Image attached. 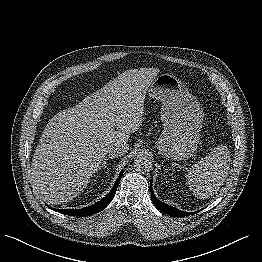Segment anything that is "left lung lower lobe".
<instances>
[{
    "label": "left lung lower lobe",
    "instance_id": "1",
    "mask_svg": "<svg viewBox=\"0 0 262 262\" xmlns=\"http://www.w3.org/2000/svg\"><path fill=\"white\" fill-rule=\"evenodd\" d=\"M150 188H151V197H152V201L154 203V206L161 210L164 213H167L168 215L172 216V217H185V216H189V215H193L196 212H184L181 211L173 206L167 205L165 203H163L162 201L158 200L155 195L154 192L152 190V180H151V184H150ZM198 212V211H197Z\"/></svg>",
    "mask_w": 262,
    "mask_h": 262
}]
</instances>
